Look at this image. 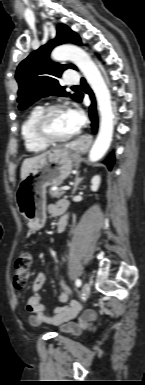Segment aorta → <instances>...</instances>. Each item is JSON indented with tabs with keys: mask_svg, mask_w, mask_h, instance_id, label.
<instances>
[{
	"mask_svg": "<svg viewBox=\"0 0 145 385\" xmlns=\"http://www.w3.org/2000/svg\"><path fill=\"white\" fill-rule=\"evenodd\" d=\"M51 57L56 61L71 60L77 65L96 95L101 121L98 136L89 152V160L96 162L109 149L113 136L114 114L109 89L95 63L80 47L75 45L56 47Z\"/></svg>",
	"mask_w": 145,
	"mask_h": 385,
	"instance_id": "obj_1",
	"label": "aorta"
}]
</instances>
